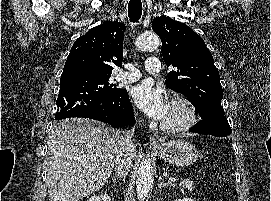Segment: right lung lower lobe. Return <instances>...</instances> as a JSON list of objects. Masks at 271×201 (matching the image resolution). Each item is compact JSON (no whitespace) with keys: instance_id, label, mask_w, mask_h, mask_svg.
I'll return each mask as SVG.
<instances>
[{"instance_id":"1","label":"right lung lower lobe","mask_w":271,"mask_h":201,"mask_svg":"<svg viewBox=\"0 0 271 201\" xmlns=\"http://www.w3.org/2000/svg\"><path fill=\"white\" fill-rule=\"evenodd\" d=\"M56 105V120L84 117L108 123L115 128L133 125L135 122L133 108L125 89L115 94L66 90L59 92Z\"/></svg>"}]
</instances>
